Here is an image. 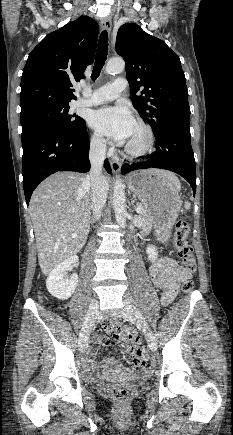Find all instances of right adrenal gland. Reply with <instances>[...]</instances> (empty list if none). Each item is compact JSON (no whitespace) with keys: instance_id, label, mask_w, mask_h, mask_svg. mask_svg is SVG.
I'll return each instance as SVG.
<instances>
[{"instance_id":"right-adrenal-gland-1","label":"right adrenal gland","mask_w":233,"mask_h":435,"mask_svg":"<svg viewBox=\"0 0 233 435\" xmlns=\"http://www.w3.org/2000/svg\"><path fill=\"white\" fill-rule=\"evenodd\" d=\"M91 223H94V219L91 220Z\"/></svg>"}]
</instances>
